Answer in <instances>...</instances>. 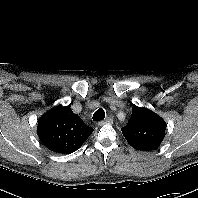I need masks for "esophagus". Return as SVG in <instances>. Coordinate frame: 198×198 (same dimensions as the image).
Masks as SVG:
<instances>
[{"instance_id":"obj_1","label":"esophagus","mask_w":198,"mask_h":198,"mask_svg":"<svg viewBox=\"0 0 198 198\" xmlns=\"http://www.w3.org/2000/svg\"><path fill=\"white\" fill-rule=\"evenodd\" d=\"M113 123V119L111 117H107L105 120L99 121L97 124L99 126H102L104 124H112Z\"/></svg>"}]
</instances>
